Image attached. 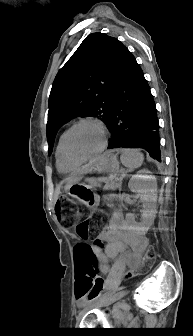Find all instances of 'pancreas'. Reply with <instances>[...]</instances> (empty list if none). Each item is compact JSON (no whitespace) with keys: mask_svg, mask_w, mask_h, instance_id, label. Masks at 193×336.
<instances>
[{"mask_svg":"<svg viewBox=\"0 0 193 336\" xmlns=\"http://www.w3.org/2000/svg\"><path fill=\"white\" fill-rule=\"evenodd\" d=\"M121 181H122L121 178H114V180L112 179L109 183H107L105 188L103 189L104 197L109 199L113 191L116 190L119 186H121L122 184Z\"/></svg>","mask_w":193,"mask_h":336,"instance_id":"obj_1","label":"pancreas"}]
</instances>
